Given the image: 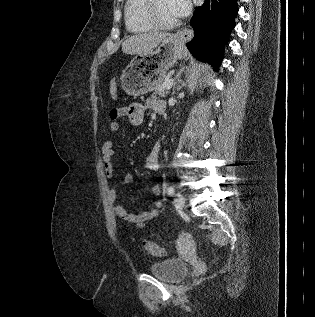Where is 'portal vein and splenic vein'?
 Returning a JSON list of instances; mask_svg holds the SVG:
<instances>
[{
    "mask_svg": "<svg viewBox=\"0 0 315 317\" xmlns=\"http://www.w3.org/2000/svg\"><path fill=\"white\" fill-rule=\"evenodd\" d=\"M172 86H173V79L171 78L166 83V89L169 90L172 88Z\"/></svg>",
    "mask_w": 315,
    "mask_h": 317,
    "instance_id": "portal-vein-and-splenic-vein-1",
    "label": "portal vein and splenic vein"
}]
</instances>
